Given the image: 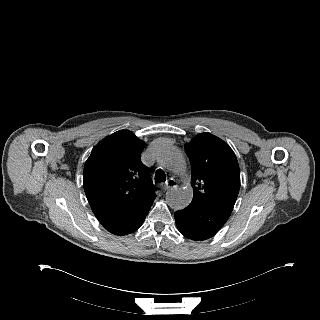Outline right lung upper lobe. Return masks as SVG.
<instances>
[{
  "label": "right lung upper lobe",
  "mask_w": 320,
  "mask_h": 320,
  "mask_svg": "<svg viewBox=\"0 0 320 320\" xmlns=\"http://www.w3.org/2000/svg\"><path fill=\"white\" fill-rule=\"evenodd\" d=\"M144 146L132 132L120 130L100 142L89 156L83 185L100 223L151 207L157 188L140 161Z\"/></svg>",
  "instance_id": "cb5924a9"
}]
</instances>
